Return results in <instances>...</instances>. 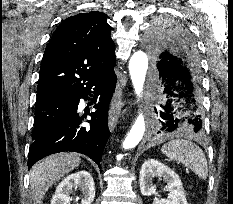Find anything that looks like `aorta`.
Masks as SVG:
<instances>
[{"label": "aorta", "instance_id": "1", "mask_svg": "<svg viewBox=\"0 0 233 204\" xmlns=\"http://www.w3.org/2000/svg\"><path fill=\"white\" fill-rule=\"evenodd\" d=\"M148 69V57L145 52H135L129 61V72L131 81L135 90V94L142 97L143 86L145 82L146 72ZM145 133V119L142 113L138 115L124 142V149L134 148L143 138Z\"/></svg>", "mask_w": 233, "mask_h": 204}]
</instances>
